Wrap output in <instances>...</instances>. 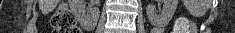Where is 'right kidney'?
Returning <instances> with one entry per match:
<instances>
[{"label": "right kidney", "instance_id": "1", "mask_svg": "<svg viewBox=\"0 0 235 33\" xmlns=\"http://www.w3.org/2000/svg\"><path fill=\"white\" fill-rule=\"evenodd\" d=\"M85 0H71L70 1V7L73 10V13L76 15V17L81 21H88V20H94L97 21L100 11L98 8H93L89 11V13H86L85 9Z\"/></svg>", "mask_w": 235, "mask_h": 33}]
</instances>
